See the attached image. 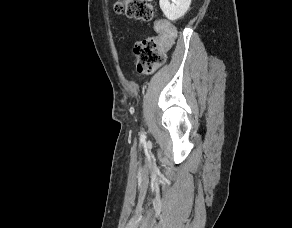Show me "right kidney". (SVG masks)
<instances>
[{"instance_id": "obj_1", "label": "right kidney", "mask_w": 292, "mask_h": 228, "mask_svg": "<svg viewBox=\"0 0 292 228\" xmlns=\"http://www.w3.org/2000/svg\"><path fill=\"white\" fill-rule=\"evenodd\" d=\"M160 8L166 18L175 21L187 12L191 4V0H160Z\"/></svg>"}]
</instances>
